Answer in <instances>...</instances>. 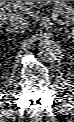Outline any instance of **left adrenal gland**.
Listing matches in <instances>:
<instances>
[{
	"label": "left adrenal gland",
	"mask_w": 74,
	"mask_h": 122,
	"mask_svg": "<svg viewBox=\"0 0 74 122\" xmlns=\"http://www.w3.org/2000/svg\"><path fill=\"white\" fill-rule=\"evenodd\" d=\"M65 32L69 34V31H68V29L66 27H65Z\"/></svg>",
	"instance_id": "obj_1"
}]
</instances>
